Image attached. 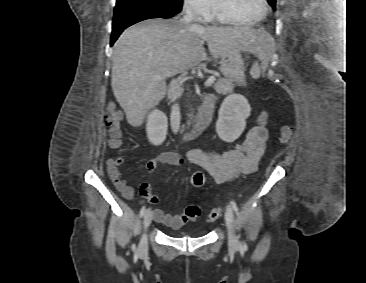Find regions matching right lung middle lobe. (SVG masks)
Wrapping results in <instances>:
<instances>
[{"instance_id":"obj_1","label":"right lung middle lobe","mask_w":366,"mask_h":283,"mask_svg":"<svg viewBox=\"0 0 366 283\" xmlns=\"http://www.w3.org/2000/svg\"><path fill=\"white\" fill-rule=\"evenodd\" d=\"M157 5L163 9L179 13L182 9V0H117L116 7L126 6V5Z\"/></svg>"}]
</instances>
